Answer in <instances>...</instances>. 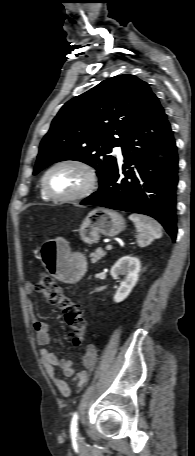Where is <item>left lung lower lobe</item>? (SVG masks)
<instances>
[{
	"label": "left lung lower lobe",
	"mask_w": 195,
	"mask_h": 456,
	"mask_svg": "<svg viewBox=\"0 0 195 456\" xmlns=\"http://www.w3.org/2000/svg\"><path fill=\"white\" fill-rule=\"evenodd\" d=\"M122 154L123 164L117 162L99 190L81 205L149 215L175 240L178 156L171 126L158 98L128 131Z\"/></svg>",
	"instance_id": "left-lung-lower-lobe-1"
}]
</instances>
